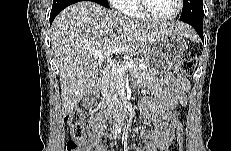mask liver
Here are the masks:
<instances>
[{"label":"liver","instance_id":"1","mask_svg":"<svg viewBox=\"0 0 231 151\" xmlns=\"http://www.w3.org/2000/svg\"><path fill=\"white\" fill-rule=\"evenodd\" d=\"M167 33L194 36V30L185 23H140L92 1L65 8L50 28L52 52L60 71L63 116L71 113L98 78V64L92 52L116 45L115 54L141 55Z\"/></svg>","mask_w":231,"mask_h":151}]
</instances>
